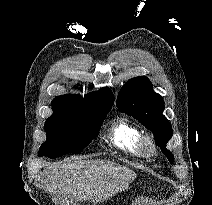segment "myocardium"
Instances as JSON below:
<instances>
[{
  "label": "myocardium",
  "instance_id": "1",
  "mask_svg": "<svg viewBox=\"0 0 212 205\" xmlns=\"http://www.w3.org/2000/svg\"><path fill=\"white\" fill-rule=\"evenodd\" d=\"M139 148L149 154L155 151V146L148 137H142L139 139Z\"/></svg>",
  "mask_w": 212,
  "mask_h": 205
}]
</instances>
